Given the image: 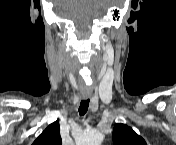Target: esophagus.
Segmentation results:
<instances>
[{
    "instance_id": "obj_1",
    "label": "esophagus",
    "mask_w": 176,
    "mask_h": 145,
    "mask_svg": "<svg viewBox=\"0 0 176 145\" xmlns=\"http://www.w3.org/2000/svg\"><path fill=\"white\" fill-rule=\"evenodd\" d=\"M84 98H88V96H84Z\"/></svg>"
}]
</instances>
